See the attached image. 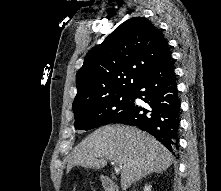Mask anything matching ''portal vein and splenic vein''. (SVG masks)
Returning <instances> with one entry per match:
<instances>
[{"instance_id": "1", "label": "portal vein and splenic vein", "mask_w": 221, "mask_h": 191, "mask_svg": "<svg viewBox=\"0 0 221 191\" xmlns=\"http://www.w3.org/2000/svg\"><path fill=\"white\" fill-rule=\"evenodd\" d=\"M115 172H116V174H118L120 172V169L118 167H116V166H115Z\"/></svg>"}]
</instances>
